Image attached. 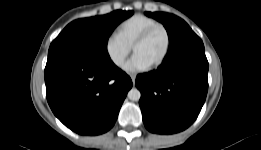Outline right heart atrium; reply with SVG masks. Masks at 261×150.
Segmentation results:
<instances>
[{
  "mask_svg": "<svg viewBox=\"0 0 261 150\" xmlns=\"http://www.w3.org/2000/svg\"><path fill=\"white\" fill-rule=\"evenodd\" d=\"M105 52L110 62L120 68L129 56L131 47L124 43L117 34H111L105 40Z\"/></svg>",
  "mask_w": 261,
  "mask_h": 150,
  "instance_id": "obj_1",
  "label": "right heart atrium"
}]
</instances>
